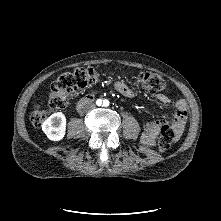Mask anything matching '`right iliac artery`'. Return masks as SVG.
I'll return each instance as SVG.
<instances>
[{
    "instance_id": "right-iliac-artery-1",
    "label": "right iliac artery",
    "mask_w": 221,
    "mask_h": 221,
    "mask_svg": "<svg viewBox=\"0 0 221 221\" xmlns=\"http://www.w3.org/2000/svg\"><path fill=\"white\" fill-rule=\"evenodd\" d=\"M99 103L101 104V103H102V101H101V100H99Z\"/></svg>"
}]
</instances>
